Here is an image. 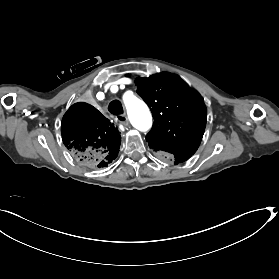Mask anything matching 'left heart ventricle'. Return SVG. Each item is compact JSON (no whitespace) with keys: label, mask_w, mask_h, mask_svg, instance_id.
I'll return each mask as SVG.
<instances>
[{"label":"left heart ventricle","mask_w":279,"mask_h":279,"mask_svg":"<svg viewBox=\"0 0 279 279\" xmlns=\"http://www.w3.org/2000/svg\"><path fill=\"white\" fill-rule=\"evenodd\" d=\"M107 75V70H104L100 76H98V81H102L104 77Z\"/></svg>","instance_id":"1"}]
</instances>
